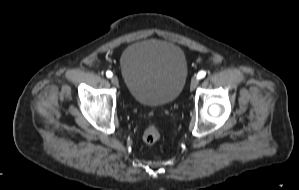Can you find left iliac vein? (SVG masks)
Here are the masks:
<instances>
[{
    "label": "left iliac vein",
    "instance_id": "left-iliac-vein-1",
    "mask_svg": "<svg viewBox=\"0 0 299 190\" xmlns=\"http://www.w3.org/2000/svg\"><path fill=\"white\" fill-rule=\"evenodd\" d=\"M198 78L197 77H193L191 80V84H190V89L194 90L198 84Z\"/></svg>",
    "mask_w": 299,
    "mask_h": 190
}]
</instances>
